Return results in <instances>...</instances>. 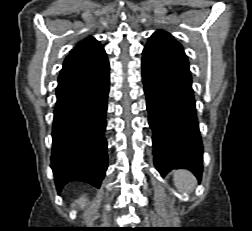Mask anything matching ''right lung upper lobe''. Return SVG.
<instances>
[{"instance_id":"right-lung-upper-lobe-1","label":"right lung upper lobe","mask_w":252,"mask_h":231,"mask_svg":"<svg viewBox=\"0 0 252 231\" xmlns=\"http://www.w3.org/2000/svg\"><path fill=\"white\" fill-rule=\"evenodd\" d=\"M109 71L104 48L93 37L79 42L66 57L58 77L56 95L67 93Z\"/></svg>"}]
</instances>
